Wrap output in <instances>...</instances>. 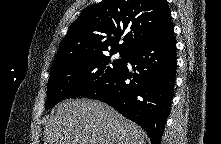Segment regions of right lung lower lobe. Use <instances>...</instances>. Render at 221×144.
<instances>
[{
	"mask_svg": "<svg viewBox=\"0 0 221 144\" xmlns=\"http://www.w3.org/2000/svg\"><path fill=\"white\" fill-rule=\"evenodd\" d=\"M173 25L126 53L123 66L102 85L83 94L115 108L143 127L152 144H161L176 76ZM132 65L134 72L127 68Z\"/></svg>",
	"mask_w": 221,
	"mask_h": 144,
	"instance_id": "1",
	"label": "right lung lower lobe"
}]
</instances>
